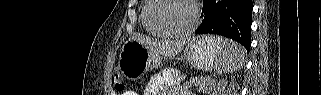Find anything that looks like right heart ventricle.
<instances>
[{"label":"right heart ventricle","instance_id":"e07e8e85","mask_svg":"<svg viewBox=\"0 0 321 95\" xmlns=\"http://www.w3.org/2000/svg\"><path fill=\"white\" fill-rule=\"evenodd\" d=\"M148 4H149V1H146V4H145L144 9H143V12H142V23H143V26H144L145 30H146L148 33H150V34H152V35H156V36H161L160 34L154 32V31L148 26V24H147V22H146V20H145V11H146V9H147Z\"/></svg>","mask_w":321,"mask_h":95}]
</instances>
